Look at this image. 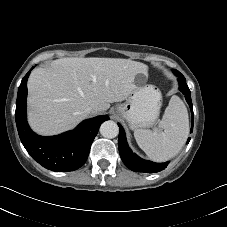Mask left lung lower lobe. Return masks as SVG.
Returning <instances> with one entry per match:
<instances>
[{
	"label": "left lung lower lobe",
	"instance_id": "left-lung-lower-lobe-1",
	"mask_svg": "<svg viewBox=\"0 0 227 227\" xmlns=\"http://www.w3.org/2000/svg\"><path fill=\"white\" fill-rule=\"evenodd\" d=\"M178 76L179 81V90L185 95V99L190 106V110L192 112V126L191 132L193 131V105L191 101V93L186 84L185 77L181 73H175ZM119 126V139H118V146H119V153L122 161L124 164L132 171L135 172H144V173H155L158 171L164 170L169 162L165 163H155L147 160H143L138 157L135 153H133L130 148L128 147L126 136L124 129L120 124ZM190 138H188V142Z\"/></svg>",
	"mask_w": 227,
	"mask_h": 227
}]
</instances>
